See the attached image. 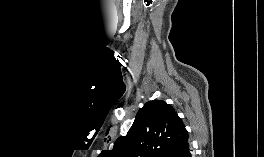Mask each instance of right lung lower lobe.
<instances>
[{
	"mask_svg": "<svg viewBox=\"0 0 264 157\" xmlns=\"http://www.w3.org/2000/svg\"><path fill=\"white\" fill-rule=\"evenodd\" d=\"M171 157H193L189 143L187 142L185 145H183Z\"/></svg>",
	"mask_w": 264,
	"mask_h": 157,
	"instance_id": "1",
	"label": "right lung lower lobe"
}]
</instances>
